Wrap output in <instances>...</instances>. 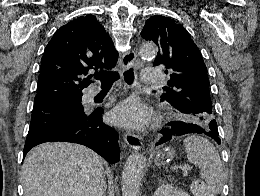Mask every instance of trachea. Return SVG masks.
<instances>
[{
    "instance_id": "trachea-1",
    "label": "trachea",
    "mask_w": 260,
    "mask_h": 196,
    "mask_svg": "<svg viewBox=\"0 0 260 196\" xmlns=\"http://www.w3.org/2000/svg\"><path fill=\"white\" fill-rule=\"evenodd\" d=\"M125 81L131 85L134 81V73L133 70L130 68L124 72ZM120 78V74L113 70H103L97 73L95 79L101 82L102 86H112L115 81Z\"/></svg>"
}]
</instances>
